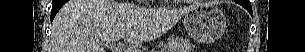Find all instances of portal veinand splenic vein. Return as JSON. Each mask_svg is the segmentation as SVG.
Instances as JSON below:
<instances>
[{
	"mask_svg": "<svg viewBox=\"0 0 305 52\" xmlns=\"http://www.w3.org/2000/svg\"><path fill=\"white\" fill-rule=\"evenodd\" d=\"M103 42L109 44L113 52H138L136 49L125 47L119 43H116V41L104 40Z\"/></svg>",
	"mask_w": 305,
	"mask_h": 52,
	"instance_id": "18ae733b",
	"label": "portal vein and splenic vein"
}]
</instances>
